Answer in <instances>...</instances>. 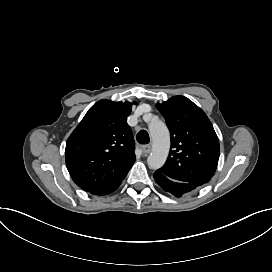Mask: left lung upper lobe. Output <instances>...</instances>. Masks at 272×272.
I'll return each instance as SVG.
<instances>
[{
    "instance_id": "5c2ea615",
    "label": "left lung upper lobe",
    "mask_w": 272,
    "mask_h": 272,
    "mask_svg": "<svg viewBox=\"0 0 272 272\" xmlns=\"http://www.w3.org/2000/svg\"><path fill=\"white\" fill-rule=\"evenodd\" d=\"M170 130L171 150L163 167L167 177L202 186L214 175L220 147L207 115L184 96H174L157 104Z\"/></svg>"
}]
</instances>
